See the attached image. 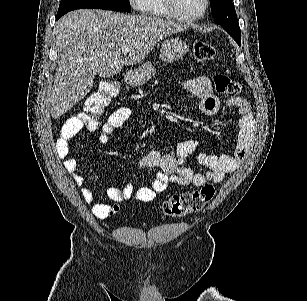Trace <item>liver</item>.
<instances>
[{
    "mask_svg": "<svg viewBox=\"0 0 307 301\" xmlns=\"http://www.w3.org/2000/svg\"><path fill=\"white\" fill-rule=\"evenodd\" d=\"M189 24L160 16L80 8L61 16L54 26L58 52L50 112L59 118L90 92L95 76H113L124 64H138L163 38ZM123 46L129 54L122 56Z\"/></svg>",
    "mask_w": 307,
    "mask_h": 301,
    "instance_id": "obj_1",
    "label": "liver"
}]
</instances>
